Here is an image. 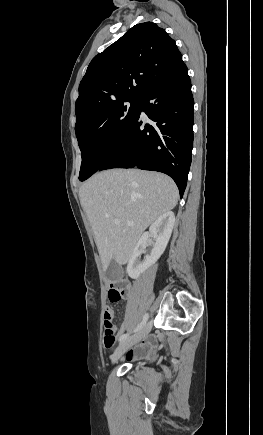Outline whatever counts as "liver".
I'll list each match as a JSON object with an SVG mask.
<instances>
[{
    "label": "liver",
    "instance_id": "obj_1",
    "mask_svg": "<svg viewBox=\"0 0 263 435\" xmlns=\"http://www.w3.org/2000/svg\"><path fill=\"white\" fill-rule=\"evenodd\" d=\"M79 197L106 270L112 260L119 265L129 261L144 230L177 205L179 193L164 174L111 169L89 178L80 187ZM115 219L120 223L115 224Z\"/></svg>",
    "mask_w": 263,
    "mask_h": 435
}]
</instances>
